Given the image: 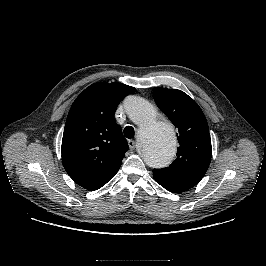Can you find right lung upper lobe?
I'll return each instance as SVG.
<instances>
[{
	"label": "right lung upper lobe",
	"instance_id": "obj_1",
	"mask_svg": "<svg viewBox=\"0 0 266 266\" xmlns=\"http://www.w3.org/2000/svg\"><path fill=\"white\" fill-rule=\"evenodd\" d=\"M135 88L122 83H94L73 102L62 139V162L81 187L94 191L118 172L128 150L113 116Z\"/></svg>",
	"mask_w": 266,
	"mask_h": 266
}]
</instances>
